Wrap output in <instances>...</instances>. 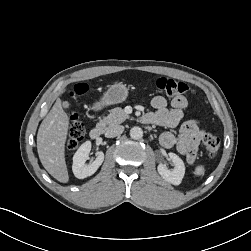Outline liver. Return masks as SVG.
I'll use <instances>...</instances> for the list:
<instances>
[{"mask_svg":"<svg viewBox=\"0 0 251 251\" xmlns=\"http://www.w3.org/2000/svg\"><path fill=\"white\" fill-rule=\"evenodd\" d=\"M68 128L69 117L62 108L61 99L58 98L38 129L37 151L43 167L62 183L69 180L65 161Z\"/></svg>","mask_w":251,"mask_h":251,"instance_id":"6515ba94","label":"liver"}]
</instances>
